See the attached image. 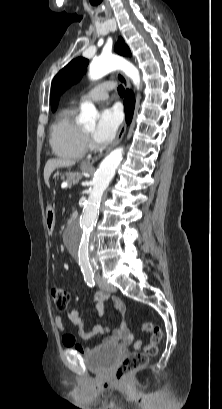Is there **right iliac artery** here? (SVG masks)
<instances>
[{"label": "right iliac artery", "instance_id": "82829eb1", "mask_svg": "<svg viewBox=\"0 0 222 409\" xmlns=\"http://www.w3.org/2000/svg\"><path fill=\"white\" fill-rule=\"evenodd\" d=\"M84 280L87 283V285L90 287L95 285L94 274L92 272L84 273Z\"/></svg>", "mask_w": 222, "mask_h": 409}]
</instances>
